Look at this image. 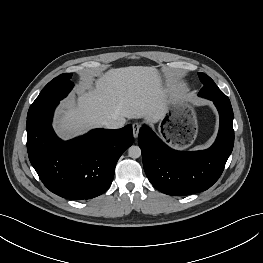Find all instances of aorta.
I'll return each instance as SVG.
<instances>
[{"label": "aorta", "instance_id": "obj_1", "mask_svg": "<svg viewBox=\"0 0 263 263\" xmlns=\"http://www.w3.org/2000/svg\"><path fill=\"white\" fill-rule=\"evenodd\" d=\"M128 154L133 159L139 158L141 156V149L139 146L133 145L129 147Z\"/></svg>", "mask_w": 263, "mask_h": 263}]
</instances>
